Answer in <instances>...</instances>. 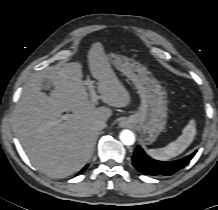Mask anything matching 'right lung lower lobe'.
Here are the masks:
<instances>
[{"instance_id": "obj_1", "label": "right lung lower lobe", "mask_w": 218, "mask_h": 210, "mask_svg": "<svg viewBox=\"0 0 218 210\" xmlns=\"http://www.w3.org/2000/svg\"><path fill=\"white\" fill-rule=\"evenodd\" d=\"M87 166H88V165H87ZM87 166H85V167L81 170V172L84 171V170L87 168Z\"/></svg>"}]
</instances>
